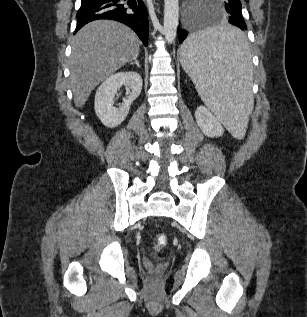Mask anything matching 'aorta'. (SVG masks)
Here are the masks:
<instances>
[{
  "mask_svg": "<svg viewBox=\"0 0 307 317\" xmlns=\"http://www.w3.org/2000/svg\"><path fill=\"white\" fill-rule=\"evenodd\" d=\"M178 19V0H164V36L169 44H172L176 38Z\"/></svg>",
  "mask_w": 307,
  "mask_h": 317,
  "instance_id": "aorta-1",
  "label": "aorta"
}]
</instances>
